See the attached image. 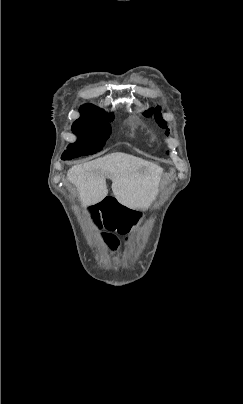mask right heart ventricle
<instances>
[{
  "mask_svg": "<svg viewBox=\"0 0 243 404\" xmlns=\"http://www.w3.org/2000/svg\"><path fill=\"white\" fill-rule=\"evenodd\" d=\"M129 137L131 140H143V141L149 142V143L154 141V138L152 135H150L146 132H143L138 128L131 129V131L129 133Z\"/></svg>",
  "mask_w": 243,
  "mask_h": 404,
  "instance_id": "right-heart-ventricle-1",
  "label": "right heart ventricle"
}]
</instances>
